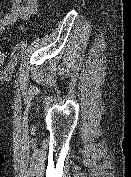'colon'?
I'll return each mask as SVG.
<instances>
[{
	"label": "colon",
	"mask_w": 131,
	"mask_h": 177,
	"mask_svg": "<svg viewBox=\"0 0 131 177\" xmlns=\"http://www.w3.org/2000/svg\"><path fill=\"white\" fill-rule=\"evenodd\" d=\"M7 54V48L0 49V67L2 66L3 62L5 61Z\"/></svg>",
	"instance_id": "colon-1"
}]
</instances>
